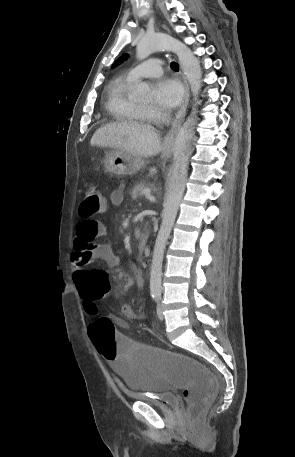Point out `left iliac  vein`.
<instances>
[{
	"label": "left iliac vein",
	"mask_w": 295,
	"mask_h": 457,
	"mask_svg": "<svg viewBox=\"0 0 295 457\" xmlns=\"http://www.w3.org/2000/svg\"><path fill=\"white\" fill-rule=\"evenodd\" d=\"M157 316H158L159 320H164V315H163L161 304H158V306H157Z\"/></svg>",
	"instance_id": "obj_1"
}]
</instances>
